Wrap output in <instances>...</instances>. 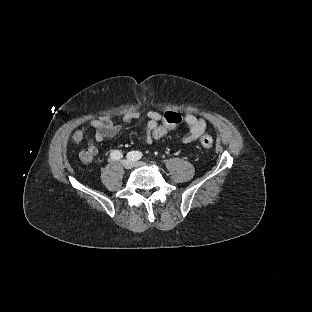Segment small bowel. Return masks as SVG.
<instances>
[{"instance_id":"1","label":"small bowel","mask_w":312,"mask_h":312,"mask_svg":"<svg viewBox=\"0 0 312 312\" xmlns=\"http://www.w3.org/2000/svg\"><path fill=\"white\" fill-rule=\"evenodd\" d=\"M184 115V123L188 126L189 133L184 136L183 142L191 144L196 142L205 133L207 122L205 119L197 117L192 113H185ZM139 118H145L147 120L145 130L146 143H154L150 135V127L154 122L161 121V113L156 110L129 111L123 116V122L129 123ZM90 126L94 129V136L89 142L88 147L83 149L79 154L80 160L85 165H90L97 155V143L106 138L115 137L121 130V125L113 122L109 116H102L91 120Z\"/></svg>"}]
</instances>
